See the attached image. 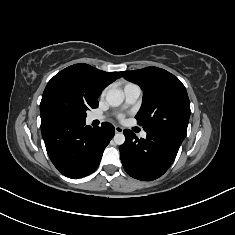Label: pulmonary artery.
Listing matches in <instances>:
<instances>
[{
	"label": "pulmonary artery",
	"instance_id": "1",
	"mask_svg": "<svg viewBox=\"0 0 235 235\" xmlns=\"http://www.w3.org/2000/svg\"><path fill=\"white\" fill-rule=\"evenodd\" d=\"M141 94V90L139 88V86L132 84V83H128L124 86V98H125V105L129 106L134 104L138 98L140 97ZM105 117L99 114H94L91 115L89 117V121H94V120H103ZM146 132L143 131L141 132L140 136L142 138L146 137Z\"/></svg>",
	"mask_w": 235,
	"mask_h": 235
}]
</instances>
